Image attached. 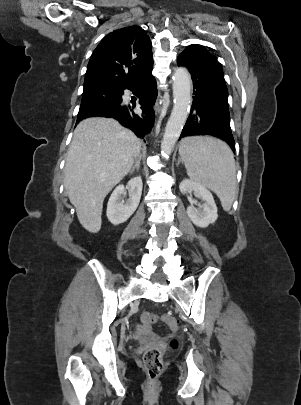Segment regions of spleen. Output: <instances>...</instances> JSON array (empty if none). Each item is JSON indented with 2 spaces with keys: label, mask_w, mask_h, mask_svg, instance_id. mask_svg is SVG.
Segmentation results:
<instances>
[{
  "label": "spleen",
  "mask_w": 301,
  "mask_h": 405,
  "mask_svg": "<svg viewBox=\"0 0 301 405\" xmlns=\"http://www.w3.org/2000/svg\"><path fill=\"white\" fill-rule=\"evenodd\" d=\"M179 154L191 180L211 189L225 211L230 210L236 192V166L226 143L211 137H186Z\"/></svg>",
  "instance_id": "1"
}]
</instances>
